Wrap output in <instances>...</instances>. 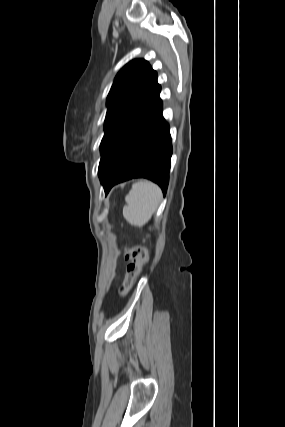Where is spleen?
Listing matches in <instances>:
<instances>
[{
    "instance_id": "obj_1",
    "label": "spleen",
    "mask_w": 285,
    "mask_h": 427,
    "mask_svg": "<svg viewBox=\"0 0 285 427\" xmlns=\"http://www.w3.org/2000/svg\"><path fill=\"white\" fill-rule=\"evenodd\" d=\"M162 193L160 188L147 180L133 184L126 196L127 206L123 208L124 218L134 226L142 227L156 211Z\"/></svg>"
}]
</instances>
